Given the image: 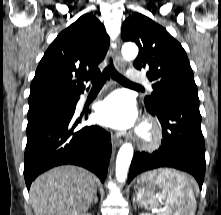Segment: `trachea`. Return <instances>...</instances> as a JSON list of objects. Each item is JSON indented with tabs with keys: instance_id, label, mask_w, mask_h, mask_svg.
I'll return each mask as SVG.
<instances>
[{
	"instance_id": "obj_1",
	"label": "trachea",
	"mask_w": 221,
	"mask_h": 215,
	"mask_svg": "<svg viewBox=\"0 0 221 215\" xmlns=\"http://www.w3.org/2000/svg\"><path fill=\"white\" fill-rule=\"evenodd\" d=\"M110 77H112L113 79H115L116 81H118L122 84H127V85H132L135 87L142 88V86L134 84V83L130 82L129 80H127L122 75H120L115 70L112 60L110 61V64L104 69L103 73L92 80L93 88L102 87L104 85V83L106 82V80L109 79Z\"/></svg>"
}]
</instances>
